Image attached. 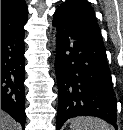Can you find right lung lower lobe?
<instances>
[{
    "label": "right lung lower lobe",
    "mask_w": 123,
    "mask_h": 130,
    "mask_svg": "<svg viewBox=\"0 0 123 130\" xmlns=\"http://www.w3.org/2000/svg\"><path fill=\"white\" fill-rule=\"evenodd\" d=\"M24 25L1 29V109L15 118L23 129L26 123Z\"/></svg>",
    "instance_id": "98d812e1"
}]
</instances>
